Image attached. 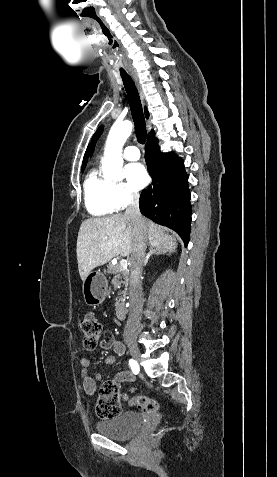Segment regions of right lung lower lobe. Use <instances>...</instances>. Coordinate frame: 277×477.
Masks as SVG:
<instances>
[{"mask_svg":"<svg viewBox=\"0 0 277 477\" xmlns=\"http://www.w3.org/2000/svg\"><path fill=\"white\" fill-rule=\"evenodd\" d=\"M145 159L152 184L141 193L140 211L154 222L175 230L187 246L192 211L183 160L174 153H162L155 137L147 140Z\"/></svg>","mask_w":277,"mask_h":477,"instance_id":"obj_1","label":"right lung lower lobe"}]
</instances>
